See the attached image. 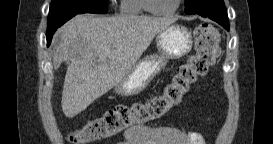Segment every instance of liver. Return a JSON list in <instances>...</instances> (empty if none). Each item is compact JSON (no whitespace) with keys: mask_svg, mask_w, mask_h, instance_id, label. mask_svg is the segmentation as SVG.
<instances>
[{"mask_svg":"<svg viewBox=\"0 0 273 144\" xmlns=\"http://www.w3.org/2000/svg\"><path fill=\"white\" fill-rule=\"evenodd\" d=\"M175 19L149 16L77 15L57 34L54 69L69 62L61 106L66 117L84 111L117 86L131 71L155 35Z\"/></svg>","mask_w":273,"mask_h":144,"instance_id":"6515ba94","label":"liver"}]
</instances>
